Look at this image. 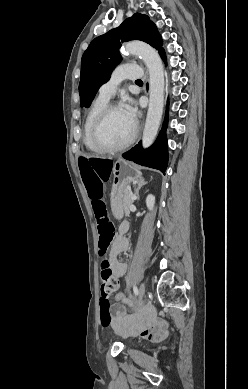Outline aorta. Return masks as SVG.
Wrapping results in <instances>:
<instances>
[{"label":"aorta","instance_id":"762f6f07","mask_svg":"<svg viewBox=\"0 0 248 389\" xmlns=\"http://www.w3.org/2000/svg\"><path fill=\"white\" fill-rule=\"evenodd\" d=\"M126 53L140 56L149 71V107L144 126L142 144L148 148L154 141L164 107V69L158 52L142 42H129L124 46Z\"/></svg>","mask_w":248,"mask_h":389}]
</instances>
